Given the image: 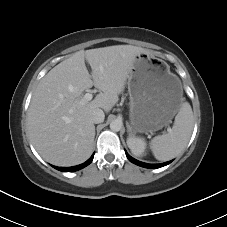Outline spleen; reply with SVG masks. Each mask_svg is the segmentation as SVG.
I'll return each instance as SVG.
<instances>
[{"label":"spleen","mask_w":227,"mask_h":227,"mask_svg":"<svg viewBox=\"0 0 227 227\" xmlns=\"http://www.w3.org/2000/svg\"><path fill=\"white\" fill-rule=\"evenodd\" d=\"M193 126L192 108L188 102H182L173 127L168 133L155 136L150 142L155 158L159 161H167L179 155L189 142Z\"/></svg>","instance_id":"3e777b00"}]
</instances>
